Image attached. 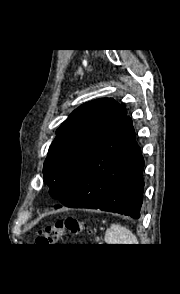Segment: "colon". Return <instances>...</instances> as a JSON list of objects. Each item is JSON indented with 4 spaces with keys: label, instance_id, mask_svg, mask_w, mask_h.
Instances as JSON below:
<instances>
[{
    "label": "colon",
    "instance_id": "1",
    "mask_svg": "<svg viewBox=\"0 0 180 294\" xmlns=\"http://www.w3.org/2000/svg\"><path fill=\"white\" fill-rule=\"evenodd\" d=\"M83 230L90 232V227L76 218L68 217L40 231L37 242L48 246L57 245L64 233L79 234Z\"/></svg>",
    "mask_w": 180,
    "mask_h": 294
}]
</instances>
